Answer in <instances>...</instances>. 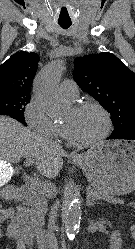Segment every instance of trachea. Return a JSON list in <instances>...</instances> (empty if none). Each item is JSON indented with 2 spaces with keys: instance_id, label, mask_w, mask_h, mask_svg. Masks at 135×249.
Wrapping results in <instances>:
<instances>
[{
  "instance_id": "1",
  "label": "trachea",
  "mask_w": 135,
  "mask_h": 249,
  "mask_svg": "<svg viewBox=\"0 0 135 249\" xmlns=\"http://www.w3.org/2000/svg\"><path fill=\"white\" fill-rule=\"evenodd\" d=\"M59 25L63 28V29H68L71 26V22H59Z\"/></svg>"
}]
</instances>
